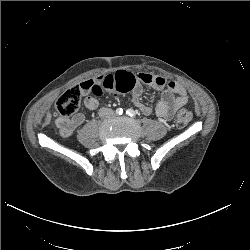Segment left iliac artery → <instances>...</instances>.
Returning <instances> with one entry per match:
<instances>
[{
  "label": "left iliac artery",
  "instance_id": "obj_1",
  "mask_svg": "<svg viewBox=\"0 0 250 250\" xmlns=\"http://www.w3.org/2000/svg\"><path fill=\"white\" fill-rule=\"evenodd\" d=\"M126 114H127L128 116H130V117H135V116H136V113H135V111H134L133 109H128V110L126 111Z\"/></svg>",
  "mask_w": 250,
  "mask_h": 250
}]
</instances>
